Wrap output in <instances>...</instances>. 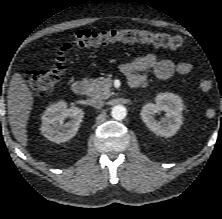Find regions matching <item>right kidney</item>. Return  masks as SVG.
I'll use <instances>...</instances> for the list:
<instances>
[{"mask_svg": "<svg viewBox=\"0 0 222 219\" xmlns=\"http://www.w3.org/2000/svg\"><path fill=\"white\" fill-rule=\"evenodd\" d=\"M84 117L82 109L77 107L67 108V103L59 101L46 108L42 115L41 133L48 140L60 143L70 140L79 129ZM71 118L63 124V121Z\"/></svg>", "mask_w": 222, "mask_h": 219, "instance_id": "right-kidney-1", "label": "right kidney"}]
</instances>
